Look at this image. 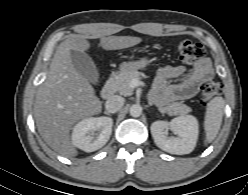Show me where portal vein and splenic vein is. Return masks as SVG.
<instances>
[{
  "mask_svg": "<svg viewBox=\"0 0 248 195\" xmlns=\"http://www.w3.org/2000/svg\"><path fill=\"white\" fill-rule=\"evenodd\" d=\"M139 84H140V81L137 80V79H132L131 82H130V86H131L132 88L138 86Z\"/></svg>",
  "mask_w": 248,
  "mask_h": 195,
  "instance_id": "18ae733b",
  "label": "portal vein and splenic vein"
}]
</instances>
